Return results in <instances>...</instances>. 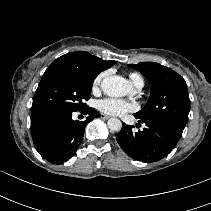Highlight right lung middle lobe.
I'll return each instance as SVG.
<instances>
[{
	"label": "right lung middle lobe",
	"instance_id": "dd1d6c3e",
	"mask_svg": "<svg viewBox=\"0 0 211 211\" xmlns=\"http://www.w3.org/2000/svg\"><path fill=\"white\" fill-rule=\"evenodd\" d=\"M97 74L75 68H48L36 90L31 114L47 112L72 113L86 109Z\"/></svg>",
	"mask_w": 211,
	"mask_h": 211
}]
</instances>
